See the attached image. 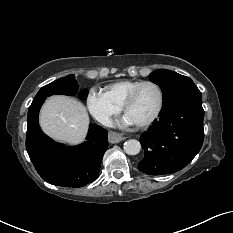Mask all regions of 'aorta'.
I'll return each instance as SVG.
<instances>
[{
	"mask_svg": "<svg viewBox=\"0 0 233 233\" xmlns=\"http://www.w3.org/2000/svg\"><path fill=\"white\" fill-rule=\"evenodd\" d=\"M123 148L128 155H136L141 150V144L138 140L129 139L124 143Z\"/></svg>",
	"mask_w": 233,
	"mask_h": 233,
	"instance_id": "obj_1",
	"label": "aorta"
}]
</instances>
